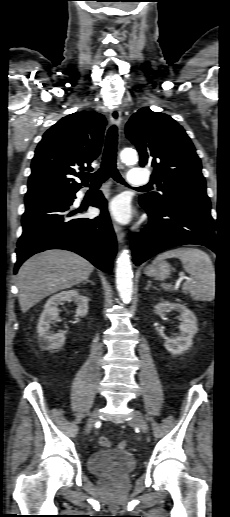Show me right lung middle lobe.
Masks as SVG:
<instances>
[{"instance_id":"1","label":"right lung middle lobe","mask_w":230,"mask_h":517,"mask_svg":"<svg viewBox=\"0 0 230 517\" xmlns=\"http://www.w3.org/2000/svg\"><path fill=\"white\" fill-rule=\"evenodd\" d=\"M69 195H62V196H56V197H51V198H48V199H65V198H68Z\"/></svg>"}]
</instances>
